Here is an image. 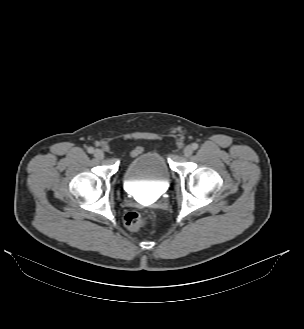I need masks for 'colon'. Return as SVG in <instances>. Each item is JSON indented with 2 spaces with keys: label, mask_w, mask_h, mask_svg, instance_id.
<instances>
[{
  "label": "colon",
  "mask_w": 304,
  "mask_h": 329,
  "mask_svg": "<svg viewBox=\"0 0 304 329\" xmlns=\"http://www.w3.org/2000/svg\"><path fill=\"white\" fill-rule=\"evenodd\" d=\"M150 222L148 217H144L137 212L130 211L124 217L126 227L131 231H137Z\"/></svg>",
  "instance_id": "colon-1"
}]
</instances>
